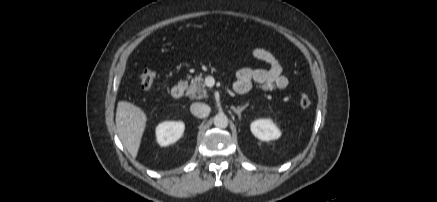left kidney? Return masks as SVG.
Listing matches in <instances>:
<instances>
[{"mask_svg":"<svg viewBox=\"0 0 437 202\" xmlns=\"http://www.w3.org/2000/svg\"><path fill=\"white\" fill-rule=\"evenodd\" d=\"M251 132L262 141L278 139L281 132L271 119H258L251 123Z\"/></svg>","mask_w":437,"mask_h":202,"instance_id":"left-kidney-1","label":"left kidney"}]
</instances>
